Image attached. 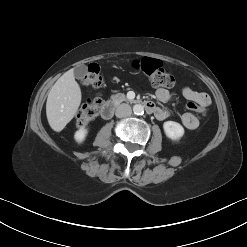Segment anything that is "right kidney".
I'll list each match as a JSON object with an SVG mask.
<instances>
[{
	"label": "right kidney",
	"mask_w": 247,
	"mask_h": 247,
	"mask_svg": "<svg viewBox=\"0 0 247 247\" xmlns=\"http://www.w3.org/2000/svg\"><path fill=\"white\" fill-rule=\"evenodd\" d=\"M88 134V130L85 128H81L75 132L74 139L77 143L81 144Z\"/></svg>",
	"instance_id": "ca27d5eb"
}]
</instances>
